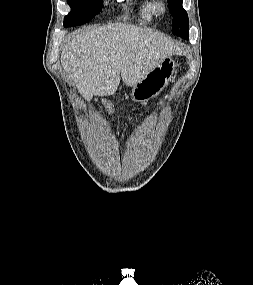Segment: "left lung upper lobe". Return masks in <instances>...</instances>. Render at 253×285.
I'll return each instance as SVG.
<instances>
[{
  "label": "left lung upper lobe",
  "mask_w": 253,
  "mask_h": 285,
  "mask_svg": "<svg viewBox=\"0 0 253 285\" xmlns=\"http://www.w3.org/2000/svg\"><path fill=\"white\" fill-rule=\"evenodd\" d=\"M182 1L168 0L170 13L173 15L172 33L188 39L189 20L186 11L182 7Z\"/></svg>",
  "instance_id": "left-lung-upper-lobe-1"
}]
</instances>
